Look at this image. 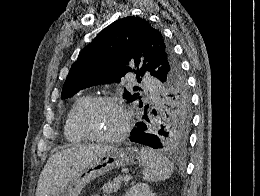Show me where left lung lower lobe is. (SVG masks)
Instances as JSON below:
<instances>
[{
    "instance_id": "left-lung-lower-lobe-1",
    "label": "left lung lower lobe",
    "mask_w": 260,
    "mask_h": 196,
    "mask_svg": "<svg viewBox=\"0 0 260 196\" xmlns=\"http://www.w3.org/2000/svg\"><path fill=\"white\" fill-rule=\"evenodd\" d=\"M137 128L131 131L130 140L141 143L147 146H150L154 149H158L160 147V140L157 135L148 133L146 130V126L143 123H137Z\"/></svg>"
}]
</instances>
